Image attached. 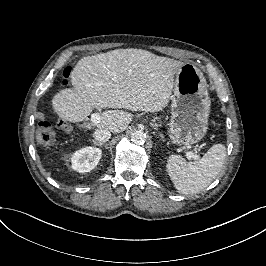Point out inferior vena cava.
Returning a JSON list of instances; mask_svg holds the SVG:
<instances>
[{
    "label": "inferior vena cava",
    "mask_w": 266,
    "mask_h": 266,
    "mask_svg": "<svg viewBox=\"0 0 266 266\" xmlns=\"http://www.w3.org/2000/svg\"><path fill=\"white\" fill-rule=\"evenodd\" d=\"M93 137L99 142H106L111 137V132L107 129H96Z\"/></svg>",
    "instance_id": "obj_1"
}]
</instances>
